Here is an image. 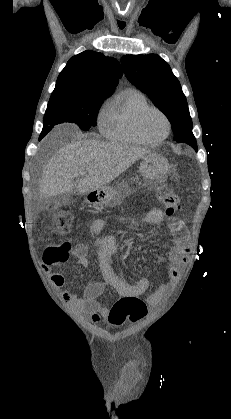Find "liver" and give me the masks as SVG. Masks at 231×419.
I'll return each instance as SVG.
<instances>
[{
    "instance_id": "liver-1",
    "label": "liver",
    "mask_w": 231,
    "mask_h": 419,
    "mask_svg": "<svg viewBox=\"0 0 231 419\" xmlns=\"http://www.w3.org/2000/svg\"><path fill=\"white\" fill-rule=\"evenodd\" d=\"M149 153L147 149L120 143L71 142L57 151L46 165L40 195L48 198L75 189L83 194L98 190ZM80 176L84 177L74 182Z\"/></svg>"
}]
</instances>
